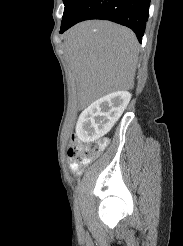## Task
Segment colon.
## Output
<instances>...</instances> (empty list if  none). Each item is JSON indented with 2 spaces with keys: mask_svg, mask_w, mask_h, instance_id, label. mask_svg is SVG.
Here are the masks:
<instances>
[{
  "mask_svg": "<svg viewBox=\"0 0 183 246\" xmlns=\"http://www.w3.org/2000/svg\"><path fill=\"white\" fill-rule=\"evenodd\" d=\"M106 147V141H98L86 146L76 143H71L68 149V154L72 160L73 168L77 169L79 165L88 163L96 158Z\"/></svg>",
  "mask_w": 183,
  "mask_h": 246,
  "instance_id": "obj_1",
  "label": "colon"
}]
</instances>
